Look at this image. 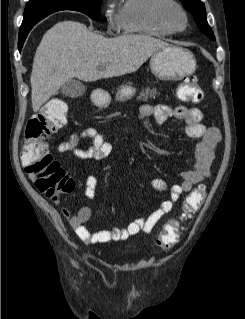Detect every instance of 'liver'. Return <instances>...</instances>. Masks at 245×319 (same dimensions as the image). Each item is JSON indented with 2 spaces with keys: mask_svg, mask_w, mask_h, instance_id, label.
<instances>
[{
  "mask_svg": "<svg viewBox=\"0 0 245 319\" xmlns=\"http://www.w3.org/2000/svg\"><path fill=\"white\" fill-rule=\"evenodd\" d=\"M168 44L160 39L128 34L105 38L77 21H61L50 28L37 47L31 73L34 112L62 85L76 77L85 82L137 71L156 51ZM106 69L100 71L99 67Z\"/></svg>",
  "mask_w": 245,
  "mask_h": 319,
  "instance_id": "obj_1",
  "label": "liver"
}]
</instances>
